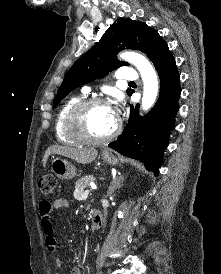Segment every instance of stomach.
<instances>
[{"mask_svg":"<svg viewBox=\"0 0 221 274\" xmlns=\"http://www.w3.org/2000/svg\"><path fill=\"white\" fill-rule=\"evenodd\" d=\"M101 156L103 161L108 164L115 165L118 162L117 158L111 152L106 150L102 152ZM50 168L58 178L64 180L73 179L77 174L76 167L67 159L58 157L53 158L51 160Z\"/></svg>","mask_w":221,"mask_h":274,"instance_id":"1","label":"stomach"}]
</instances>
